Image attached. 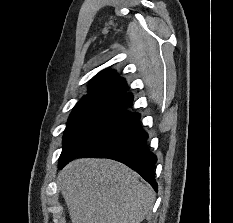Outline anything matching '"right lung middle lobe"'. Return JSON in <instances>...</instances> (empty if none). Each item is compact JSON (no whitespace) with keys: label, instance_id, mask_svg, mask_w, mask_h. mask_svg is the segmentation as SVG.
Wrapping results in <instances>:
<instances>
[{"label":"right lung middle lobe","instance_id":"obj_1","mask_svg":"<svg viewBox=\"0 0 233 223\" xmlns=\"http://www.w3.org/2000/svg\"><path fill=\"white\" fill-rule=\"evenodd\" d=\"M127 108L121 94H90L73 109L63 137V154H80L107 131Z\"/></svg>","mask_w":233,"mask_h":223}]
</instances>
